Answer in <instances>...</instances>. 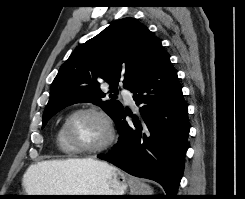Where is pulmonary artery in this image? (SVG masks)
Masks as SVG:
<instances>
[{"label":"pulmonary artery","instance_id":"1","mask_svg":"<svg viewBox=\"0 0 245 199\" xmlns=\"http://www.w3.org/2000/svg\"><path fill=\"white\" fill-rule=\"evenodd\" d=\"M122 96L125 98V100L129 103V104H133L134 103V99H133V94L130 90L128 89H123L121 92Z\"/></svg>","mask_w":245,"mask_h":199}]
</instances>
